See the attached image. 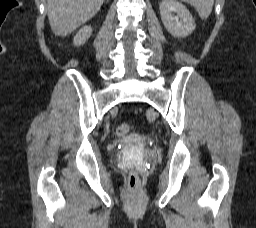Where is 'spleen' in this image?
Segmentation results:
<instances>
[{
	"mask_svg": "<svg viewBox=\"0 0 256 228\" xmlns=\"http://www.w3.org/2000/svg\"><path fill=\"white\" fill-rule=\"evenodd\" d=\"M191 4L197 10L202 19H206L212 12L214 0H182Z\"/></svg>",
	"mask_w": 256,
	"mask_h": 228,
	"instance_id": "3e777b00",
	"label": "spleen"
}]
</instances>
